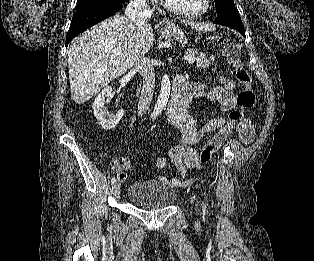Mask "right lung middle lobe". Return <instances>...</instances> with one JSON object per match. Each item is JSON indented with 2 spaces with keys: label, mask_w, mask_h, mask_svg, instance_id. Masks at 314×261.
<instances>
[{
  "label": "right lung middle lobe",
  "mask_w": 314,
  "mask_h": 261,
  "mask_svg": "<svg viewBox=\"0 0 314 261\" xmlns=\"http://www.w3.org/2000/svg\"><path fill=\"white\" fill-rule=\"evenodd\" d=\"M111 1H124V0H79L76 12H80L90 7L107 3V2H111ZM125 1H129V0H125Z\"/></svg>",
  "instance_id": "right-lung-middle-lobe-1"
}]
</instances>
